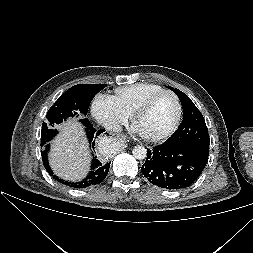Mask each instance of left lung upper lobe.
Wrapping results in <instances>:
<instances>
[{
  "label": "left lung upper lobe",
  "mask_w": 253,
  "mask_h": 253,
  "mask_svg": "<svg viewBox=\"0 0 253 253\" xmlns=\"http://www.w3.org/2000/svg\"><path fill=\"white\" fill-rule=\"evenodd\" d=\"M168 88L179 97L184 113L179 129L165 143L191 146L209 155L208 128L201 112L186 94L170 86Z\"/></svg>",
  "instance_id": "5c2ea615"
}]
</instances>
